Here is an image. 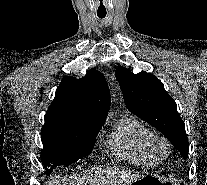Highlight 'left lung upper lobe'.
I'll use <instances>...</instances> for the list:
<instances>
[{"label": "left lung upper lobe", "instance_id": "5c2ea615", "mask_svg": "<svg viewBox=\"0 0 207 185\" xmlns=\"http://www.w3.org/2000/svg\"><path fill=\"white\" fill-rule=\"evenodd\" d=\"M130 112L162 132L187 159L189 143L185 125L177 112V105L153 74L131 73L120 66L115 71Z\"/></svg>", "mask_w": 207, "mask_h": 185}]
</instances>
